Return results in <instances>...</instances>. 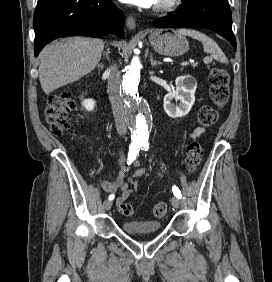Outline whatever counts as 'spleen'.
Returning <instances> with one entry per match:
<instances>
[{"instance_id": "obj_1", "label": "spleen", "mask_w": 272, "mask_h": 282, "mask_svg": "<svg viewBox=\"0 0 272 282\" xmlns=\"http://www.w3.org/2000/svg\"><path fill=\"white\" fill-rule=\"evenodd\" d=\"M177 33L180 35H188L194 39L201 41L203 44V49L205 53L211 54L214 57V59L222 63H225V64L228 63V59L226 58L222 50L219 48L217 43L213 39L208 37L207 35L199 31L192 30V29H186V28L178 29Z\"/></svg>"}]
</instances>
